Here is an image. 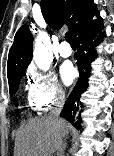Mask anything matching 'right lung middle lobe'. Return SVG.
Returning <instances> with one entry per match:
<instances>
[{
	"instance_id": "obj_1",
	"label": "right lung middle lobe",
	"mask_w": 114,
	"mask_h": 156,
	"mask_svg": "<svg viewBox=\"0 0 114 156\" xmlns=\"http://www.w3.org/2000/svg\"><path fill=\"white\" fill-rule=\"evenodd\" d=\"M22 75H17L8 80L10 95H13L17 91ZM14 104L17 105V99L14 100Z\"/></svg>"
}]
</instances>
